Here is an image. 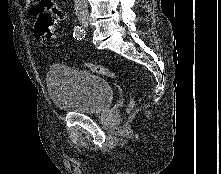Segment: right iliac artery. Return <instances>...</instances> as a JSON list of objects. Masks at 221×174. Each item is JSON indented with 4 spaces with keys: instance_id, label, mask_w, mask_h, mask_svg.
I'll use <instances>...</instances> for the list:
<instances>
[{
    "instance_id": "1",
    "label": "right iliac artery",
    "mask_w": 221,
    "mask_h": 174,
    "mask_svg": "<svg viewBox=\"0 0 221 174\" xmlns=\"http://www.w3.org/2000/svg\"><path fill=\"white\" fill-rule=\"evenodd\" d=\"M73 37L77 40L83 39L85 37L84 29L80 26H75L74 32H73Z\"/></svg>"
}]
</instances>
